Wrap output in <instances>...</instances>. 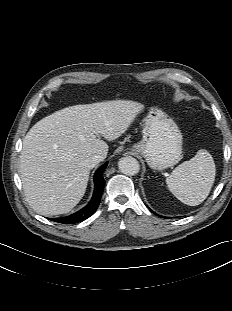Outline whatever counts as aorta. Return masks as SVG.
<instances>
[{"mask_svg": "<svg viewBox=\"0 0 232 311\" xmlns=\"http://www.w3.org/2000/svg\"><path fill=\"white\" fill-rule=\"evenodd\" d=\"M118 168L121 173L131 176L139 172L140 165H139V162L135 158L131 156H127L119 160Z\"/></svg>", "mask_w": 232, "mask_h": 311, "instance_id": "1", "label": "aorta"}]
</instances>
